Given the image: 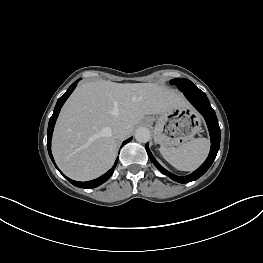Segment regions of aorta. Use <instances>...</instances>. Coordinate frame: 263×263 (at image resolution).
<instances>
[{
  "mask_svg": "<svg viewBox=\"0 0 263 263\" xmlns=\"http://www.w3.org/2000/svg\"><path fill=\"white\" fill-rule=\"evenodd\" d=\"M151 133L146 127H139L135 131V139L139 143H146L150 140Z\"/></svg>",
  "mask_w": 263,
  "mask_h": 263,
  "instance_id": "obj_1",
  "label": "aorta"
}]
</instances>
